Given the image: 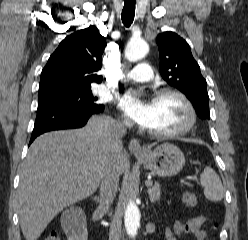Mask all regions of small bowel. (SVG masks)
I'll return each mask as SVG.
<instances>
[{"mask_svg":"<svg viewBox=\"0 0 248 240\" xmlns=\"http://www.w3.org/2000/svg\"><path fill=\"white\" fill-rule=\"evenodd\" d=\"M205 217L202 215L194 216L186 221H178L173 229L164 227V234L167 240H178L183 235H193L195 240H205L206 232L203 230Z\"/></svg>","mask_w":248,"mask_h":240,"instance_id":"obj_1","label":"small bowel"}]
</instances>
